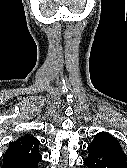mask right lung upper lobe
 <instances>
[{"mask_svg":"<svg viewBox=\"0 0 127 168\" xmlns=\"http://www.w3.org/2000/svg\"><path fill=\"white\" fill-rule=\"evenodd\" d=\"M39 141L30 136L25 135L17 139V141L10 144L9 148L5 152L4 160H16V159H34L39 158L41 155L38 151Z\"/></svg>","mask_w":127,"mask_h":168,"instance_id":"1","label":"right lung upper lobe"}]
</instances>
